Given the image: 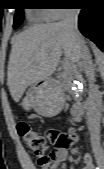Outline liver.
Returning <instances> with one entry per match:
<instances>
[{
	"label": "liver",
	"mask_w": 104,
	"mask_h": 169,
	"mask_svg": "<svg viewBox=\"0 0 104 169\" xmlns=\"http://www.w3.org/2000/svg\"><path fill=\"white\" fill-rule=\"evenodd\" d=\"M62 54L80 61L79 46L63 22L34 25L14 37L7 71L13 100L19 102L30 85L50 77Z\"/></svg>",
	"instance_id": "1"
}]
</instances>
